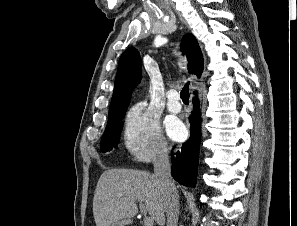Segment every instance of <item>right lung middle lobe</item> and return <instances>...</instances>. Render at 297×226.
Masks as SVG:
<instances>
[{"label":"right lung middle lobe","mask_w":297,"mask_h":226,"mask_svg":"<svg viewBox=\"0 0 297 226\" xmlns=\"http://www.w3.org/2000/svg\"><path fill=\"white\" fill-rule=\"evenodd\" d=\"M127 107L128 105L109 109L108 123L101 141L102 151L105 152L117 146L123 126L122 119Z\"/></svg>","instance_id":"right-lung-middle-lobe-1"}]
</instances>
